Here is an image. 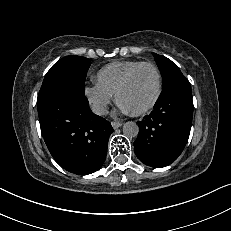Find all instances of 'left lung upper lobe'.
<instances>
[{"label":"left lung upper lobe","mask_w":231,"mask_h":231,"mask_svg":"<svg viewBox=\"0 0 231 231\" xmlns=\"http://www.w3.org/2000/svg\"><path fill=\"white\" fill-rule=\"evenodd\" d=\"M153 55L161 71L164 86L174 79L184 77L180 69L170 59L155 53Z\"/></svg>","instance_id":"left-lung-upper-lobe-1"}]
</instances>
